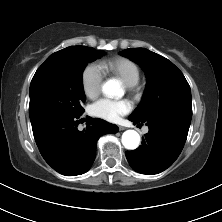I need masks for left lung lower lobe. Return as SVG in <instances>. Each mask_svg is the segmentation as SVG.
I'll list each match as a JSON object with an SVG mask.
<instances>
[{"mask_svg":"<svg viewBox=\"0 0 222 222\" xmlns=\"http://www.w3.org/2000/svg\"><path fill=\"white\" fill-rule=\"evenodd\" d=\"M129 120L134 124L146 122L149 125L142 145L126 152L130 166L142 174H157L170 167L184 147L190 123L176 114L148 120L129 117Z\"/></svg>","mask_w":222,"mask_h":222,"instance_id":"obj_1","label":"left lung lower lobe"}]
</instances>
